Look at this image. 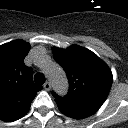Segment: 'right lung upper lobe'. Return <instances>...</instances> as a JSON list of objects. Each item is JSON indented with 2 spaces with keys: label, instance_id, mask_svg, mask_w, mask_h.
I'll return each mask as SVG.
<instances>
[{
  "label": "right lung upper lobe",
  "instance_id": "right-lung-upper-lobe-1",
  "mask_svg": "<svg viewBox=\"0 0 128 128\" xmlns=\"http://www.w3.org/2000/svg\"><path fill=\"white\" fill-rule=\"evenodd\" d=\"M30 45L15 40L0 46V120L13 121L27 112L42 86L33 82V70L24 64Z\"/></svg>",
  "mask_w": 128,
  "mask_h": 128
}]
</instances>
